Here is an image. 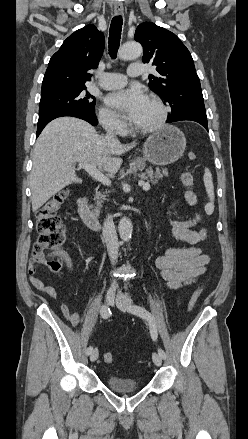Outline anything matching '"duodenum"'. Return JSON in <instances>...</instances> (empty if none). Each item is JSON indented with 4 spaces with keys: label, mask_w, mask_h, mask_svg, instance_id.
<instances>
[{
    "label": "duodenum",
    "mask_w": 248,
    "mask_h": 439,
    "mask_svg": "<svg viewBox=\"0 0 248 439\" xmlns=\"http://www.w3.org/2000/svg\"><path fill=\"white\" fill-rule=\"evenodd\" d=\"M78 211L82 221L92 230L100 229L97 211L93 210L88 202L86 194L80 196L77 201Z\"/></svg>",
    "instance_id": "duodenum-1"
}]
</instances>
